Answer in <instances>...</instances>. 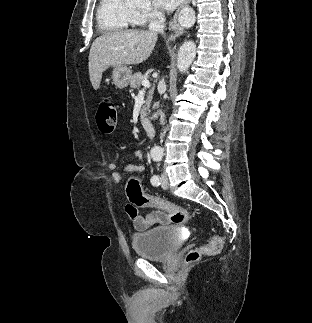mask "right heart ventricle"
<instances>
[{
  "instance_id": "obj_1",
  "label": "right heart ventricle",
  "mask_w": 312,
  "mask_h": 323,
  "mask_svg": "<svg viewBox=\"0 0 312 323\" xmlns=\"http://www.w3.org/2000/svg\"><path fill=\"white\" fill-rule=\"evenodd\" d=\"M144 18V13L132 9V5H124L123 0H99L93 13L99 29H129V25H140Z\"/></svg>"
}]
</instances>
